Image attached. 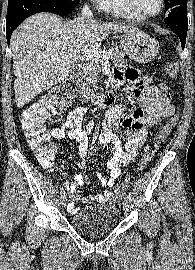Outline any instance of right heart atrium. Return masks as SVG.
Listing matches in <instances>:
<instances>
[{
  "label": "right heart atrium",
  "mask_w": 195,
  "mask_h": 270,
  "mask_svg": "<svg viewBox=\"0 0 195 270\" xmlns=\"http://www.w3.org/2000/svg\"><path fill=\"white\" fill-rule=\"evenodd\" d=\"M91 1L95 2L96 4H100V2H101V0H91Z\"/></svg>",
  "instance_id": "d8ad5b80"
}]
</instances>
